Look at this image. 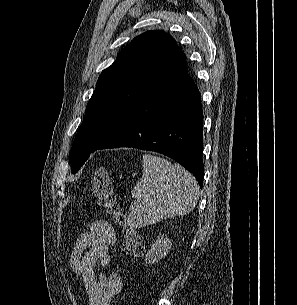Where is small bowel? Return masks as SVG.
Returning a JSON list of instances; mask_svg holds the SVG:
<instances>
[{"mask_svg":"<svg viewBox=\"0 0 297 305\" xmlns=\"http://www.w3.org/2000/svg\"><path fill=\"white\" fill-rule=\"evenodd\" d=\"M73 242L70 266L83 282L89 305H110L123 289L119 275L103 270L109 264L110 250L116 242L113 227L107 220H95Z\"/></svg>","mask_w":297,"mask_h":305,"instance_id":"c3829d8e","label":"small bowel"}]
</instances>
